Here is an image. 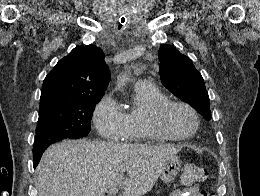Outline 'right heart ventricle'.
<instances>
[{
	"label": "right heart ventricle",
	"mask_w": 260,
	"mask_h": 196,
	"mask_svg": "<svg viewBox=\"0 0 260 196\" xmlns=\"http://www.w3.org/2000/svg\"><path fill=\"white\" fill-rule=\"evenodd\" d=\"M135 105L125 111L126 129L137 130L134 137L123 139L122 143H146L159 140V136L147 129L145 116L158 103L167 100V96L152 84L135 83L132 86Z\"/></svg>",
	"instance_id": "e07e8e85"
}]
</instances>
